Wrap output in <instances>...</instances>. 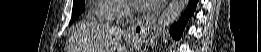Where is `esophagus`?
Returning <instances> with one entry per match:
<instances>
[{"label":"esophagus","mask_w":261,"mask_h":52,"mask_svg":"<svg viewBox=\"0 0 261 52\" xmlns=\"http://www.w3.org/2000/svg\"><path fill=\"white\" fill-rule=\"evenodd\" d=\"M167 3H168V1H166V0L161 1L160 4L157 6V8L154 10V12L151 15L147 16L142 21H139V22L133 24L132 26H130L127 30V35L134 37V38L143 36L146 33L148 26L164 10Z\"/></svg>","instance_id":"1"}]
</instances>
